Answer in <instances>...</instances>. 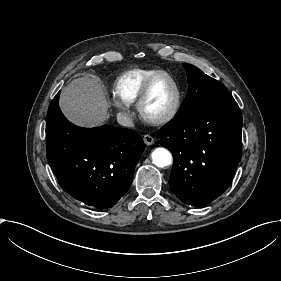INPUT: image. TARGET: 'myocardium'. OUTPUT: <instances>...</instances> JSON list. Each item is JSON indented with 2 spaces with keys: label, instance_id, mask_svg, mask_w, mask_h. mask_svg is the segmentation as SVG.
I'll use <instances>...</instances> for the list:
<instances>
[{
  "label": "myocardium",
  "instance_id": "f54148a6",
  "mask_svg": "<svg viewBox=\"0 0 281 281\" xmlns=\"http://www.w3.org/2000/svg\"><path fill=\"white\" fill-rule=\"evenodd\" d=\"M163 79L169 80L173 86V91H174L173 102H172L170 110L165 115L160 116V117H154V116L149 115L146 112L145 104L149 100L155 85ZM180 102H181V91H180V87H179L177 80L175 79V77L172 74L163 73V74L155 75L147 81V83L145 84V86L137 100V110H138L140 117L145 122L154 124V125H162V124L169 123L176 117V115L179 111V108H180Z\"/></svg>",
  "mask_w": 281,
  "mask_h": 281
}]
</instances>
